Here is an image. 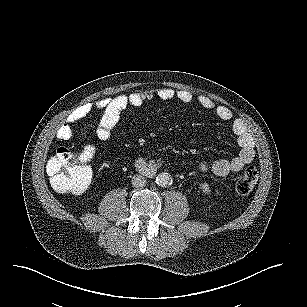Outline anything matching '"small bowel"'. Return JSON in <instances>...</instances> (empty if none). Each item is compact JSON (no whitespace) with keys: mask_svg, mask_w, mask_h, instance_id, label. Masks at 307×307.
<instances>
[{"mask_svg":"<svg viewBox=\"0 0 307 307\" xmlns=\"http://www.w3.org/2000/svg\"><path fill=\"white\" fill-rule=\"evenodd\" d=\"M154 97L163 101L177 99L184 104L193 101V95L186 90L175 91L171 88H162L156 92H135L129 95H120L114 98H105L98 101L86 102L75 108L66 118V121L58 130L57 137L61 141H69L74 136V124L83 120L94 109L102 112L96 133L99 139L107 140L111 137L112 132L119 121L121 112L128 106L139 107L145 102L152 100ZM198 104L206 110L212 111L219 119L231 121V129L237 138L240 147L239 153L231 159H217L211 165L202 164L201 171H211L217 176H225L230 172H238L245 165L251 163L255 157L254 140L249 133L246 125L239 119H233L232 111L224 106L217 105L207 96H199ZM96 147L92 144L86 145L82 150V156L87 163L94 158ZM140 168L146 167L142 160L138 162Z\"/></svg>","mask_w":307,"mask_h":307,"instance_id":"c3829d8e","label":"small bowel"}]
</instances>
